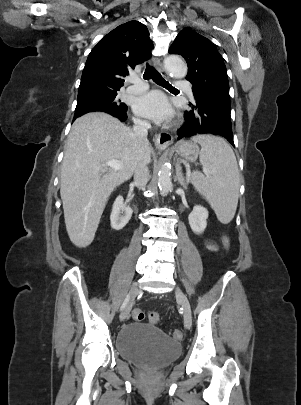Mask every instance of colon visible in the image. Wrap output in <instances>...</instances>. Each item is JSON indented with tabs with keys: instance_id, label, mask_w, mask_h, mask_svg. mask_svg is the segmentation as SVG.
<instances>
[{
	"instance_id": "5ec220e1",
	"label": "colon",
	"mask_w": 301,
	"mask_h": 405,
	"mask_svg": "<svg viewBox=\"0 0 301 405\" xmlns=\"http://www.w3.org/2000/svg\"><path fill=\"white\" fill-rule=\"evenodd\" d=\"M221 239H222V243H223L224 249H225V250H228V249H229V245H230L228 237H227L226 235H222ZM132 316H133V319H134V320H136V321H142V320L145 318V313H144V311L141 310V309H135V310L133 311V313H132ZM148 319H149V321H150L152 324L157 325V324H159V322H160V314H159L158 312H154V311H153V312H150V313L148 314ZM172 337L179 340V339H181V338L183 337V333H182L181 330L175 329V330L172 332Z\"/></svg>"
}]
</instances>
